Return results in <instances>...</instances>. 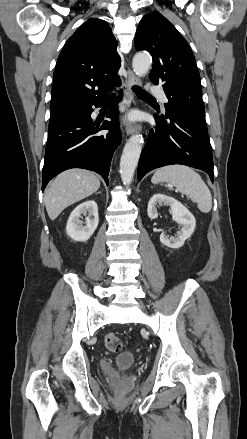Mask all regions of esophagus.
I'll return each mask as SVG.
<instances>
[{
    "mask_svg": "<svg viewBox=\"0 0 247 439\" xmlns=\"http://www.w3.org/2000/svg\"><path fill=\"white\" fill-rule=\"evenodd\" d=\"M139 84H140V79L134 74V72L130 68H128V80L126 87H127V92L131 98H133L132 87L134 85H139ZM140 129L141 127L138 124L128 123L126 125V133L128 135L133 134L139 131Z\"/></svg>",
    "mask_w": 247,
    "mask_h": 439,
    "instance_id": "esophagus-1",
    "label": "esophagus"
}]
</instances>
